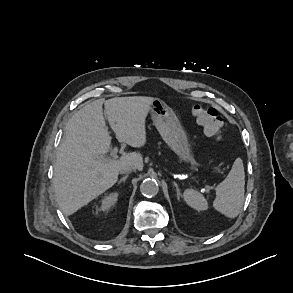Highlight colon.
Listing matches in <instances>:
<instances>
[{
  "instance_id": "obj_1",
  "label": "colon",
  "mask_w": 293,
  "mask_h": 293,
  "mask_svg": "<svg viewBox=\"0 0 293 293\" xmlns=\"http://www.w3.org/2000/svg\"><path fill=\"white\" fill-rule=\"evenodd\" d=\"M192 114L207 136L218 140L222 138L224 124L216 108L208 105H194Z\"/></svg>"
}]
</instances>
